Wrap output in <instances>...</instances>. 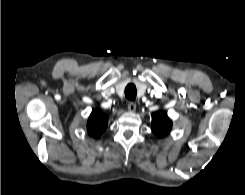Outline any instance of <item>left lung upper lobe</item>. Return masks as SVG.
Returning <instances> with one entry per match:
<instances>
[{
    "instance_id": "5c2ea615",
    "label": "left lung upper lobe",
    "mask_w": 245,
    "mask_h": 195,
    "mask_svg": "<svg viewBox=\"0 0 245 195\" xmlns=\"http://www.w3.org/2000/svg\"><path fill=\"white\" fill-rule=\"evenodd\" d=\"M172 128V122L163 112L152 115V131L160 138L166 136Z\"/></svg>"
}]
</instances>
